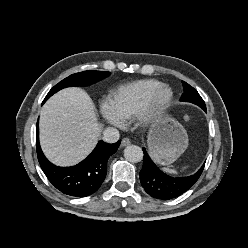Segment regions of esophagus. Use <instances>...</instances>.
Here are the masks:
<instances>
[{"mask_svg":"<svg viewBox=\"0 0 248 248\" xmlns=\"http://www.w3.org/2000/svg\"><path fill=\"white\" fill-rule=\"evenodd\" d=\"M131 144V140L129 138H123L121 141V146L125 147Z\"/></svg>","mask_w":248,"mask_h":248,"instance_id":"esophagus-1","label":"esophagus"}]
</instances>
